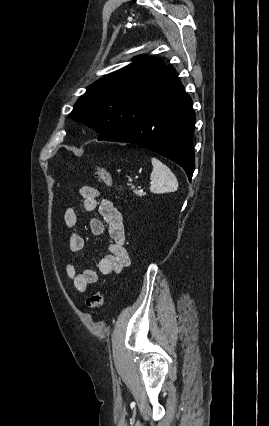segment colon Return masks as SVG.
I'll return each instance as SVG.
<instances>
[{
	"instance_id": "obj_1",
	"label": "colon",
	"mask_w": 269,
	"mask_h": 426,
	"mask_svg": "<svg viewBox=\"0 0 269 426\" xmlns=\"http://www.w3.org/2000/svg\"><path fill=\"white\" fill-rule=\"evenodd\" d=\"M95 175L98 178V180L102 182L104 185L108 187H112L115 185L110 173L104 167L97 166L95 168ZM116 187L120 189L119 185H117ZM104 297L105 296L102 291H96L95 293H93L87 298V301H86L87 307L92 311L98 310L104 302Z\"/></svg>"
}]
</instances>
